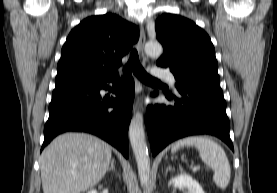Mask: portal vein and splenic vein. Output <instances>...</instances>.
Masks as SVG:
<instances>
[{"mask_svg":"<svg viewBox=\"0 0 277 193\" xmlns=\"http://www.w3.org/2000/svg\"><path fill=\"white\" fill-rule=\"evenodd\" d=\"M199 169H200V166H194L192 170H193V172H196V171H198Z\"/></svg>","mask_w":277,"mask_h":193,"instance_id":"portal-vein-and-splenic-vein-1","label":"portal vein and splenic vein"}]
</instances>
